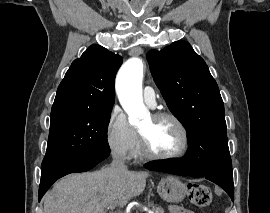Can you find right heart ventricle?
<instances>
[{"label": "right heart ventricle", "mask_w": 270, "mask_h": 213, "mask_svg": "<svg viewBox=\"0 0 270 213\" xmlns=\"http://www.w3.org/2000/svg\"><path fill=\"white\" fill-rule=\"evenodd\" d=\"M133 156L136 157V158H141L142 157V154H141V151H140V146H139V142L138 141H137V144H136V147H135Z\"/></svg>", "instance_id": "e07e8e85"}]
</instances>
